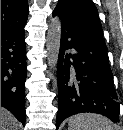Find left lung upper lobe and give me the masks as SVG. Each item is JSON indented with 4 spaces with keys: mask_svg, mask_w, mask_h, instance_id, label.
I'll return each instance as SVG.
<instances>
[{
    "mask_svg": "<svg viewBox=\"0 0 123 130\" xmlns=\"http://www.w3.org/2000/svg\"><path fill=\"white\" fill-rule=\"evenodd\" d=\"M54 11L80 34L105 43L98 11L92 0H59Z\"/></svg>",
    "mask_w": 123,
    "mask_h": 130,
    "instance_id": "5c2ea615",
    "label": "left lung upper lobe"
}]
</instances>
